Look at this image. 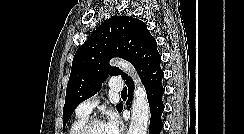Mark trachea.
<instances>
[{"label":"trachea","instance_id":"trachea-1","mask_svg":"<svg viewBox=\"0 0 244 134\" xmlns=\"http://www.w3.org/2000/svg\"><path fill=\"white\" fill-rule=\"evenodd\" d=\"M121 95H122V96L127 95V90L124 89V90L121 92Z\"/></svg>","mask_w":244,"mask_h":134}]
</instances>
